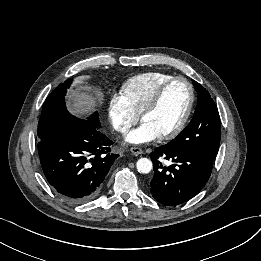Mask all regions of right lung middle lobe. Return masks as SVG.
I'll return each mask as SVG.
<instances>
[{"label":"right lung middle lobe","instance_id":"obj_1","mask_svg":"<svg viewBox=\"0 0 261 261\" xmlns=\"http://www.w3.org/2000/svg\"><path fill=\"white\" fill-rule=\"evenodd\" d=\"M71 82L72 79H68L64 83L60 84L44 102L41 117L38 123V137L40 141L52 137L76 121H88L100 127L97 112L91 115L87 120H84L71 115L66 109L64 96Z\"/></svg>","mask_w":261,"mask_h":261}]
</instances>
